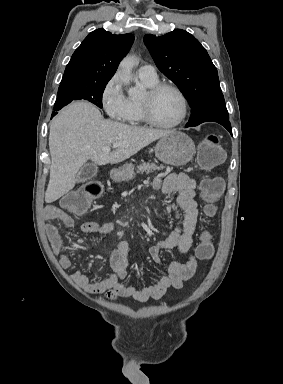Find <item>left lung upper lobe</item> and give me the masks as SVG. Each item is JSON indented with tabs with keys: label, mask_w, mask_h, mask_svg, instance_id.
<instances>
[{
	"label": "left lung upper lobe",
	"mask_w": 283,
	"mask_h": 384,
	"mask_svg": "<svg viewBox=\"0 0 283 384\" xmlns=\"http://www.w3.org/2000/svg\"><path fill=\"white\" fill-rule=\"evenodd\" d=\"M144 42L159 70L179 87L191 106L186 127L229 121L217 69L193 35L176 29L160 37L146 35Z\"/></svg>",
	"instance_id": "5c2ea615"
}]
</instances>
